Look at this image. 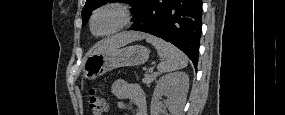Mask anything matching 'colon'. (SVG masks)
Masks as SVG:
<instances>
[{"label": "colon", "mask_w": 285, "mask_h": 115, "mask_svg": "<svg viewBox=\"0 0 285 115\" xmlns=\"http://www.w3.org/2000/svg\"><path fill=\"white\" fill-rule=\"evenodd\" d=\"M88 107L92 115H103L107 110V103L95 89L89 90Z\"/></svg>", "instance_id": "5ec220e1"}]
</instances>
